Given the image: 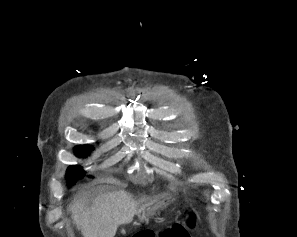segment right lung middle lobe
I'll return each mask as SVG.
<instances>
[{
	"instance_id": "1",
	"label": "right lung middle lobe",
	"mask_w": 297,
	"mask_h": 237,
	"mask_svg": "<svg viewBox=\"0 0 297 237\" xmlns=\"http://www.w3.org/2000/svg\"><path fill=\"white\" fill-rule=\"evenodd\" d=\"M92 149L93 147L89 145L76 146L74 148V152L78 157H86L87 155H89V152ZM83 174H84V171L80 166H77V165L71 166L67 171V180L70 184H73L76 182L77 179L81 178Z\"/></svg>"
}]
</instances>
